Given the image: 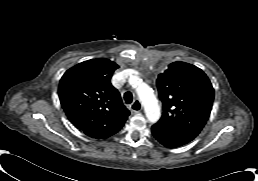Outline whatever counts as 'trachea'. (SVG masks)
Segmentation results:
<instances>
[{
	"mask_svg": "<svg viewBox=\"0 0 258 181\" xmlns=\"http://www.w3.org/2000/svg\"><path fill=\"white\" fill-rule=\"evenodd\" d=\"M124 100L127 104H130L132 103V100H133V96H132V93L131 92H126L124 94Z\"/></svg>",
	"mask_w": 258,
	"mask_h": 181,
	"instance_id": "1",
	"label": "trachea"
}]
</instances>
